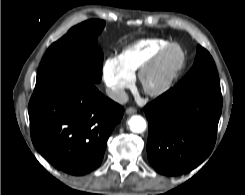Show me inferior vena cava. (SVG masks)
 Here are the masks:
<instances>
[{"mask_svg": "<svg viewBox=\"0 0 245 195\" xmlns=\"http://www.w3.org/2000/svg\"><path fill=\"white\" fill-rule=\"evenodd\" d=\"M106 93L109 98L119 104H125L128 101V95L123 89L107 88Z\"/></svg>", "mask_w": 245, "mask_h": 195, "instance_id": "602c4592", "label": "inferior vena cava"}]
</instances>
